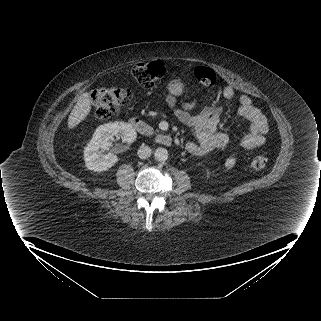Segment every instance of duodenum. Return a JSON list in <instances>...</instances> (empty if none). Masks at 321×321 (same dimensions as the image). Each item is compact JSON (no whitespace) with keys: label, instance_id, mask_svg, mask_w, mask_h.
<instances>
[{"label":"duodenum","instance_id":"duodenum-1","mask_svg":"<svg viewBox=\"0 0 321 321\" xmlns=\"http://www.w3.org/2000/svg\"><path fill=\"white\" fill-rule=\"evenodd\" d=\"M131 127L139 134L145 137L152 138L155 142L163 146H171L172 139L169 135L156 133L144 120L139 117H133L130 120Z\"/></svg>","mask_w":321,"mask_h":321}]
</instances>
